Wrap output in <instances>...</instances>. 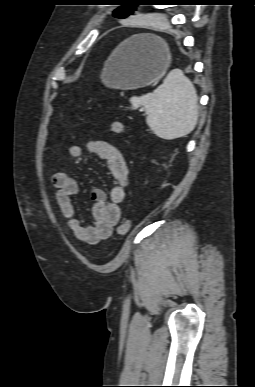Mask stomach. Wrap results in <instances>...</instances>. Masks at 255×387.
Returning a JSON list of instances; mask_svg holds the SVG:
<instances>
[{
  "mask_svg": "<svg viewBox=\"0 0 255 387\" xmlns=\"http://www.w3.org/2000/svg\"><path fill=\"white\" fill-rule=\"evenodd\" d=\"M171 55L167 44L154 36H134L112 53L101 74L110 88L134 89L150 85L169 68Z\"/></svg>",
  "mask_w": 255,
  "mask_h": 387,
  "instance_id": "0dacf381",
  "label": "stomach"
}]
</instances>
